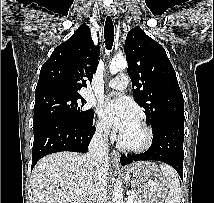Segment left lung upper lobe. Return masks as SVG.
<instances>
[{"label": "left lung upper lobe", "instance_id": "obj_1", "mask_svg": "<svg viewBox=\"0 0 214 203\" xmlns=\"http://www.w3.org/2000/svg\"><path fill=\"white\" fill-rule=\"evenodd\" d=\"M124 51L135 102L144 108L152 131L166 121H184L183 95L165 49L140 27L128 32Z\"/></svg>", "mask_w": 214, "mask_h": 203}]
</instances>
